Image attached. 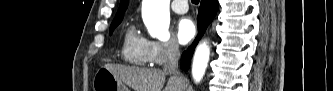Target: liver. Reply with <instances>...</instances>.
Masks as SVG:
<instances>
[{"label":"liver","instance_id":"1","mask_svg":"<svg viewBox=\"0 0 333 91\" xmlns=\"http://www.w3.org/2000/svg\"><path fill=\"white\" fill-rule=\"evenodd\" d=\"M118 80L125 83L134 91H162L167 73L159 69L122 66L118 64H105ZM185 81L179 77H170L164 91H185Z\"/></svg>","mask_w":333,"mask_h":91}]
</instances>
